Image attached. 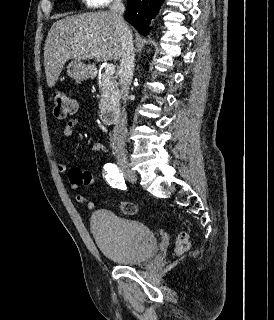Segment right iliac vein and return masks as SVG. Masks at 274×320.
<instances>
[{
    "mask_svg": "<svg viewBox=\"0 0 274 320\" xmlns=\"http://www.w3.org/2000/svg\"><path fill=\"white\" fill-rule=\"evenodd\" d=\"M118 165L120 167L121 172L124 174L127 180L132 183L137 181V176L135 171L131 168L130 163L125 158H120L118 160Z\"/></svg>",
    "mask_w": 274,
    "mask_h": 320,
    "instance_id": "right-iliac-vein-1",
    "label": "right iliac vein"
}]
</instances>
